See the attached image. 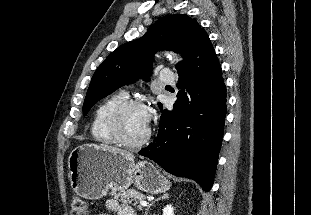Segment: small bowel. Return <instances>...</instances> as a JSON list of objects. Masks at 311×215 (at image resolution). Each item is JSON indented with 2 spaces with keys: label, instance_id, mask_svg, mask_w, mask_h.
<instances>
[{
  "label": "small bowel",
  "instance_id": "obj_1",
  "mask_svg": "<svg viewBox=\"0 0 311 215\" xmlns=\"http://www.w3.org/2000/svg\"><path fill=\"white\" fill-rule=\"evenodd\" d=\"M136 215L133 208L126 204H121L114 199H110L106 202L105 211L96 215Z\"/></svg>",
  "mask_w": 311,
  "mask_h": 215
}]
</instances>
